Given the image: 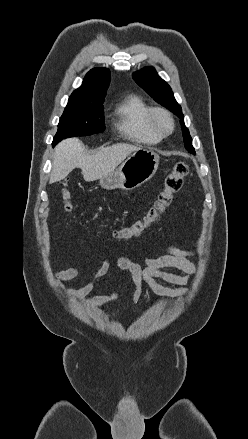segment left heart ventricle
<instances>
[{"label":"left heart ventricle","instance_id":"obj_1","mask_svg":"<svg viewBox=\"0 0 248 439\" xmlns=\"http://www.w3.org/2000/svg\"><path fill=\"white\" fill-rule=\"evenodd\" d=\"M162 126L166 127V121H164V120L162 121Z\"/></svg>","mask_w":248,"mask_h":439}]
</instances>
